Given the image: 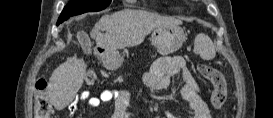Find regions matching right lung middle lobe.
I'll return each mask as SVG.
<instances>
[{"label":"right lung middle lobe","instance_id":"1","mask_svg":"<svg viewBox=\"0 0 273 118\" xmlns=\"http://www.w3.org/2000/svg\"><path fill=\"white\" fill-rule=\"evenodd\" d=\"M110 3L111 0H70L59 18L67 20L71 16L85 12L100 11L109 6Z\"/></svg>","mask_w":273,"mask_h":118}]
</instances>
